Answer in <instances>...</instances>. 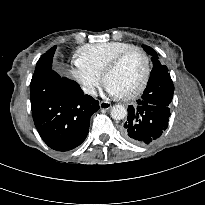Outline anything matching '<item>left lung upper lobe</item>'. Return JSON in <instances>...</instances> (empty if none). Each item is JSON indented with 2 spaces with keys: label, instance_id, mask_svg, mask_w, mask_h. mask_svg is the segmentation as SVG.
<instances>
[{
  "label": "left lung upper lobe",
  "instance_id": "5c2ea615",
  "mask_svg": "<svg viewBox=\"0 0 205 205\" xmlns=\"http://www.w3.org/2000/svg\"><path fill=\"white\" fill-rule=\"evenodd\" d=\"M142 47L152 56L153 69L141 99H151L169 105L173 97L174 85L168 68L160 64L157 53L151 47L146 45Z\"/></svg>",
  "mask_w": 205,
  "mask_h": 205
}]
</instances>
